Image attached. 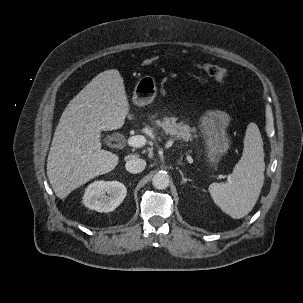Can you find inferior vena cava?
<instances>
[{"label":"inferior vena cava","mask_w":303,"mask_h":303,"mask_svg":"<svg viewBox=\"0 0 303 303\" xmlns=\"http://www.w3.org/2000/svg\"><path fill=\"white\" fill-rule=\"evenodd\" d=\"M145 166V160L137 157L129 159L125 164L126 170L133 174L142 172L145 169Z\"/></svg>","instance_id":"602c4592"}]
</instances>
